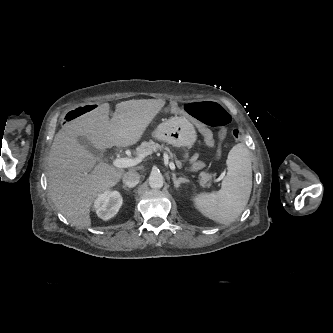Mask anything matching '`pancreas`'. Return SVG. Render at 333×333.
<instances>
[{
	"mask_svg": "<svg viewBox=\"0 0 333 333\" xmlns=\"http://www.w3.org/2000/svg\"><path fill=\"white\" fill-rule=\"evenodd\" d=\"M162 149H165L169 152L170 158L172 160H175L178 168L183 167V164L179 160H177L176 156L174 154H172V152L167 147H165L164 145H160L152 140H150L149 142H146V141L142 142L141 145L136 148L135 154L140 155V154L144 153L147 156L157 150H162ZM211 178H212V176L209 173H207L206 171H202L199 173L198 182L202 186L209 187V186H211V183H210Z\"/></svg>",
	"mask_w": 333,
	"mask_h": 333,
	"instance_id": "obj_1",
	"label": "pancreas"
}]
</instances>
